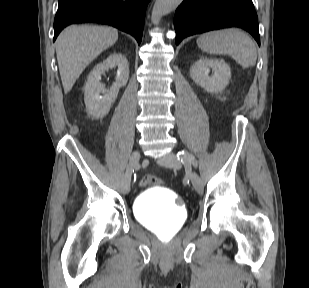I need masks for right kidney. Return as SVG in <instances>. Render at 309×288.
Listing matches in <instances>:
<instances>
[{
	"mask_svg": "<svg viewBox=\"0 0 309 288\" xmlns=\"http://www.w3.org/2000/svg\"><path fill=\"white\" fill-rule=\"evenodd\" d=\"M116 66L118 67L116 80L110 90H107L100 82L101 75L106 70ZM128 78L129 63L122 54L114 53L103 63L98 64L89 74L84 86V101L87 113L94 118L106 116L118 96L119 89L127 84ZM100 94H103V96Z\"/></svg>",
	"mask_w": 309,
	"mask_h": 288,
	"instance_id": "obj_1",
	"label": "right kidney"
}]
</instances>
